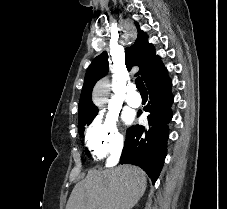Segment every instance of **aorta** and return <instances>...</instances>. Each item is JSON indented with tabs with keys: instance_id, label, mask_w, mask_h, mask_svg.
<instances>
[{
	"instance_id": "obj_1",
	"label": "aorta",
	"mask_w": 227,
	"mask_h": 209,
	"mask_svg": "<svg viewBox=\"0 0 227 209\" xmlns=\"http://www.w3.org/2000/svg\"><path fill=\"white\" fill-rule=\"evenodd\" d=\"M109 87V82L107 79L101 80L95 87L94 91V101L98 105H102L105 102L106 89Z\"/></svg>"
}]
</instances>
